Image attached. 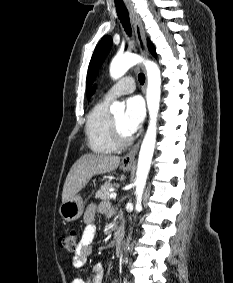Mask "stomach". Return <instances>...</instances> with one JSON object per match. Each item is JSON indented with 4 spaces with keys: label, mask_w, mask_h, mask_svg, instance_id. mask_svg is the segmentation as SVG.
I'll list each match as a JSON object with an SVG mask.
<instances>
[{
    "label": "stomach",
    "mask_w": 233,
    "mask_h": 283,
    "mask_svg": "<svg viewBox=\"0 0 233 283\" xmlns=\"http://www.w3.org/2000/svg\"><path fill=\"white\" fill-rule=\"evenodd\" d=\"M131 167V164H121V168L124 171L130 170ZM83 210L84 203L82 198L79 195H75L73 198L60 205L59 214L65 221L72 222L80 218L83 214Z\"/></svg>",
    "instance_id": "obj_1"
}]
</instances>
